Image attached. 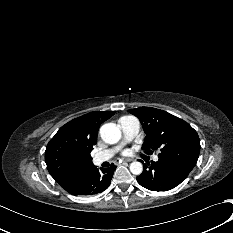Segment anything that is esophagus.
<instances>
[{"instance_id":"1","label":"esophagus","mask_w":233,"mask_h":233,"mask_svg":"<svg viewBox=\"0 0 233 233\" xmlns=\"http://www.w3.org/2000/svg\"><path fill=\"white\" fill-rule=\"evenodd\" d=\"M131 161H132V159H130V158H126V159L121 160V162H131Z\"/></svg>"}]
</instances>
